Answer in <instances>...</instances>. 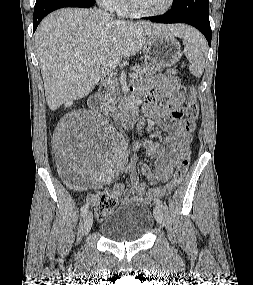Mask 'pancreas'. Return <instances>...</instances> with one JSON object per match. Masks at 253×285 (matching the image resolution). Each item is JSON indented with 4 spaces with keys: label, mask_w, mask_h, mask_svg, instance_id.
<instances>
[{
    "label": "pancreas",
    "mask_w": 253,
    "mask_h": 285,
    "mask_svg": "<svg viewBox=\"0 0 253 285\" xmlns=\"http://www.w3.org/2000/svg\"><path fill=\"white\" fill-rule=\"evenodd\" d=\"M132 70H134L138 77H149L153 76L156 72H160L163 70V67L152 65L149 63H144L142 65H135ZM167 73L176 74V69H169ZM101 97L104 100L105 107L109 110H114V106L116 105L117 99H120V88L119 84L116 80H106L104 82V89L100 92Z\"/></svg>",
    "instance_id": "1"
}]
</instances>
